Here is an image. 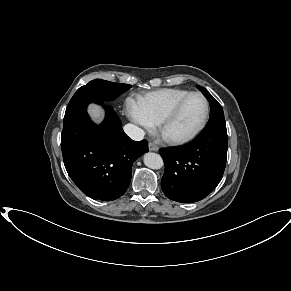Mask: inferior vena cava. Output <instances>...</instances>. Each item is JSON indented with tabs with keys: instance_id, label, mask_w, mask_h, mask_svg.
I'll list each match as a JSON object with an SVG mask.
<instances>
[{
	"instance_id": "1",
	"label": "inferior vena cava",
	"mask_w": 291,
	"mask_h": 291,
	"mask_svg": "<svg viewBox=\"0 0 291 291\" xmlns=\"http://www.w3.org/2000/svg\"><path fill=\"white\" fill-rule=\"evenodd\" d=\"M124 131L134 141H141L145 135L144 131L134 124H126Z\"/></svg>"
}]
</instances>
